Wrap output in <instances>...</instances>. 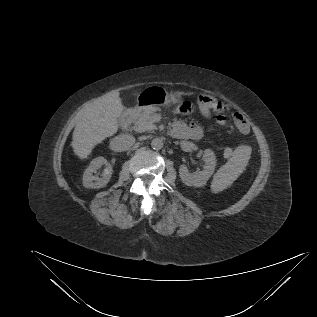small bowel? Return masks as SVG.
Returning <instances> with one entry per match:
<instances>
[{
	"label": "small bowel",
	"mask_w": 317,
	"mask_h": 317,
	"mask_svg": "<svg viewBox=\"0 0 317 317\" xmlns=\"http://www.w3.org/2000/svg\"><path fill=\"white\" fill-rule=\"evenodd\" d=\"M202 112L205 116L209 115V111L207 112L202 111ZM240 116H241V121H243L244 123H243V127H238V128L241 131V133L247 134L249 132L248 122H246L245 118L242 115ZM171 134L175 138H178L182 141L199 140L204 135V129L200 125L194 122L186 123L184 121L179 120L173 123L171 127Z\"/></svg>",
	"instance_id": "small-bowel-1"
}]
</instances>
